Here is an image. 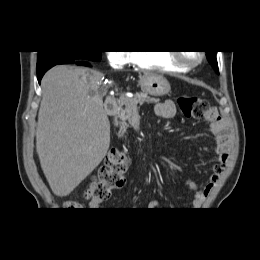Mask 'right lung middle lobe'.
I'll list each match as a JSON object with an SVG mask.
<instances>
[{"instance_id":"1","label":"right lung middle lobe","mask_w":260,"mask_h":260,"mask_svg":"<svg viewBox=\"0 0 260 260\" xmlns=\"http://www.w3.org/2000/svg\"><path fill=\"white\" fill-rule=\"evenodd\" d=\"M61 59L100 61L101 51H39L37 71Z\"/></svg>"}]
</instances>
